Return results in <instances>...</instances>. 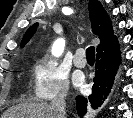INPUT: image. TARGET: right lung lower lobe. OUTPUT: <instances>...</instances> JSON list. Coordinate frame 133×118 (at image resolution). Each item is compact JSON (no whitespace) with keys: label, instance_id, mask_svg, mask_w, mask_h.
Returning a JSON list of instances; mask_svg holds the SVG:
<instances>
[{"label":"right lung lower lobe","instance_id":"obj_1","mask_svg":"<svg viewBox=\"0 0 133 118\" xmlns=\"http://www.w3.org/2000/svg\"><path fill=\"white\" fill-rule=\"evenodd\" d=\"M120 61L121 57L117 38L105 47L97 50L96 72L92 94L88 99L83 96L76 97L77 112L80 117L86 113L88 101L91 106L96 109L107 98L112 88Z\"/></svg>","mask_w":133,"mask_h":118}]
</instances>
